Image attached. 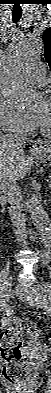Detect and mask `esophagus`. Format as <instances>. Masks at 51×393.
<instances>
[{"mask_svg": "<svg viewBox=\"0 0 51 393\" xmlns=\"http://www.w3.org/2000/svg\"><path fill=\"white\" fill-rule=\"evenodd\" d=\"M37 150H38V147L37 146H33L32 152H36Z\"/></svg>", "mask_w": 51, "mask_h": 393, "instance_id": "34e87169", "label": "esophagus"}]
</instances>
